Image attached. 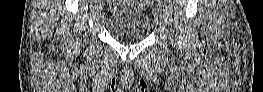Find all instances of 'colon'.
<instances>
[{
  "label": "colon",
  "mask_w": 263,
  "mask_h": 92,
  "mask_svg": "<svg viewBox=\"0 0 263 92\" xmlns=\"http://www.w3.org/2000/svg\"><path fill=\"white\" fill-rule=\"evenodd\" d=\"M140 5H144V3L142 1H139ZM145 2H152V1H145Z\"/></svg>",
  "instance_id": "5ec220e1"
}]
</instances>
